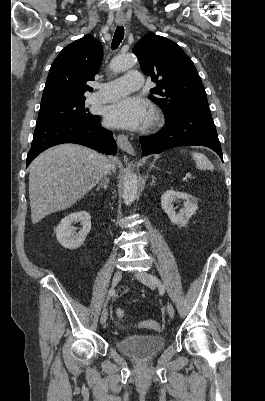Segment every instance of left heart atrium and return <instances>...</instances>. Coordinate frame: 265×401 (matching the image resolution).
Listing matches in <instances>:
<instances>
[{"label": "left heart atrium", "instance_id": "39dd6f15", "mask_svg": "<svg viewBox=\"0 0 265 401\" xmlns=\"http://www.w3.org/2000/svg\"><path fill=\"white\" fill-rule=\"evenodd\" d=\"M151 115L150 105L138 98L125 97L115 101L105 110L106 122L114 127L136 129L148 123Z\"/></svg>", "mask_w": 265, "mask_h": 401}]
</instances>
